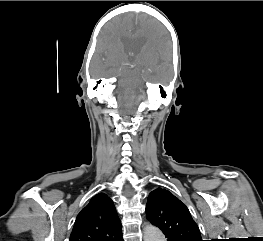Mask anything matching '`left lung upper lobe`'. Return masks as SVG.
Returning a JSON list of instances; mask_svg holds the SVG:
<instances>
[{
    "label": "left lung upper lobe",
    "mask_w": 263,
    "mask_h": 241,
    "mask_svg": "<svg viewBox=\"0 0 263 241\" xmlns=\"http://www.w3.org/2000/svg\"><path fill=\"white\" fill-rule=\"evenodd\" d=\"M147 219L174 241H203L186 205L168 190L157 188L148 196Z\"/></svg>",
    "instance_id": "1"
}]
</instances>
